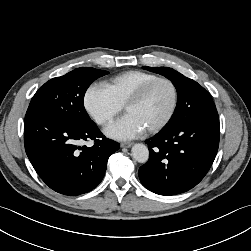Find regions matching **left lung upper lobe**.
<instances>
[{
    "instance_id": "obj_1",
    "label": "left lung upper lobe",
    "mask_w": 251,
    "mask_h": 251,
    "mask_svg": "<svg viewBox=\"0 0 251 251\" xmlns=\"http://www.w3.org/2000/svg\"><path fill=\"white\" fill-rule=\"evenodd\" d=\"M143 69L165 76L172 81L177 90L178 101L176 109L164 128L173 127L180 119H182L183 112L181 110L189 104L188 101L193 98V95H195L197 92L206 91L197 82L185 77L172 68L144 66Z\"/></svg>"
}]
</instances>
